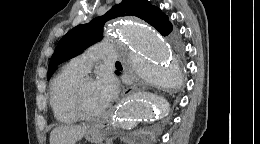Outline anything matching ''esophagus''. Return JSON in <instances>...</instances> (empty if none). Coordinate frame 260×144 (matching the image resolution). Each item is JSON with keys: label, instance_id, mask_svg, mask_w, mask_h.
Returning <instances> with one entry per match:
<instances>
[{"label": "esophagus", "instance_id": "esophagus-1", "mask_svg": "<svg viewBox=\"0 0 260 144\" xmlns=\"http://www.w3.org/2000/svg\"><path fill=\"white\" fill-rule=\"evenodd\" d=\"M139 82H135L134 84L128 86L122 93V97L127 96L129 94H131L133 91H135L137 89V86L139 85Z\"/></svg>", "mask_w": 260, "mask_h": 144}]
</instances>
